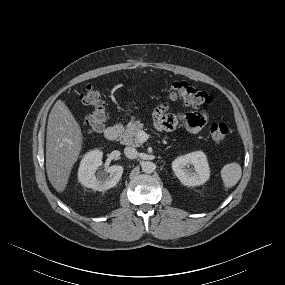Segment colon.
<instances>
[{
  "mask_svg": "<svg viewBox=\"0 0 285 285\" xmlns=\"http://www.w3.org/2000/svg\"><path fill=\"white\" fill-rule=\"evenodd\" d=\"M169 92L172 99L180 100L192 107L208 105L212 102L210 94L190 86L186 82H171ZM79 100L91 108V112L83 119L84 128L91 133L101 132L107 121V111L99 90L88 85L79 95ZM229 127L225 123H214L210 127V137L214 143L223 142L229 134Z\"/></svg>",
  "mask_w": 285,
  "mask_h": 285,
  "instance_id": "1",
  "label": "colon"
}]
</instances>
